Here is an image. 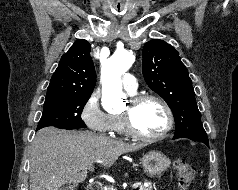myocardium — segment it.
Returning <instances> with one entry per match:
<instances>
[{
    "mask_svg": "<svg viewBox=\"0 0 238 190\" xmlns=\"http://www.w3.org/2000/svg\"><path fill=\"white\" fill-rule=\"evenodd\" d=\"M147 100H154L158 102L161 107L164 109L166 117H167V124L165 129L154 136L145 135L141 132H139L133 121V112L134 110L144 101ZM121 118L125 127V131L133 138L145 141V142H155L164 139L168 136V134L171 132L174 126V115L172 112V109L170 108L169 104L160 96L156 94L151 93H145V94H138L129 100V109L121 114Z\"/></svg>",
    "mask_w": 238,
    "mask_h": 190,
    "instance_id": "f54148a6",
    "label": "myocardium"
}]
</instances>
